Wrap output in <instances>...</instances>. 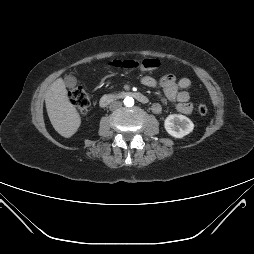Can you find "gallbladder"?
<instances>
[{
	"label": "gallbladder",
	"instance_id": "1",
	"mask_svg": "<svg viewBox=\"0 0 254 254\" xmlns=\"http://www.w3.org/2000/svg\"><path fill=\"white\" fill-rule=\"evenodd\" d=\"M66 87L73 88L77 84V79L74 76L68 75L64 79Z\"/></svg>",
	"mask_w": 254,
	"mask_h": 254
}]
</instances>
